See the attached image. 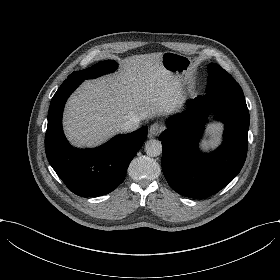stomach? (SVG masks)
Returning a JSON list of instances; mask_svg holds the SVG:
<instances>
[{
	"mask_svg": "<svg viewBox=\"0 0 280 280\" xmlns=\"http://www.w3.org/2000/svg\"><path fill=\"white\" fill-rule=\"evenodd\" d=\"M161 64L171 76L174 82L179 84V89L184 92L182 102L184 103L192 91L191 86L195 81L192 59L173 51H164L161 54Z\"/></svg>",
	"mask_w": 280,
	"mask_h": 280,
	"instance_id": "obj_1",
	"label": "stomach"
}]
</instances>
